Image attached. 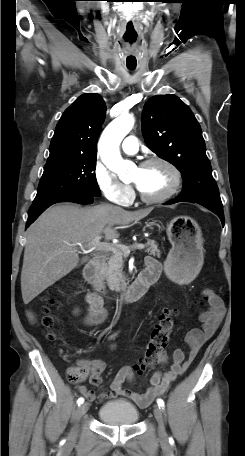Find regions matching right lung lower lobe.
I'll return each mask as SVG.
<instances>
[{
  "mask_svg": "<svg viewBox=\"0 0 245 456\" xmlns=\"http://www.w3.org/2000/svg\"><path fill=\"white\" fill-rule=\"evenodd\" d=\"M94 199L92 195H71L60 197L52 200H48L38 204H32L29 209L28 214V221L26 223V228L29 227L31 223H33L38 216L45 211L49 206L59 202H74L79 204H90L93 203Z\"/></svg>",
  "mask_w": 245,
  "mask_h": 456,
  "instance_id": "right-lung-lower-lobe-1",
  "label": "right lung lower lobe"
}]
</instances>
